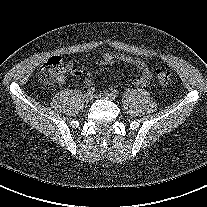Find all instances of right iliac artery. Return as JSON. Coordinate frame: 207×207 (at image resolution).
<instances>
[{"mask_svg":"<svg viewBox=\"0 0 207 207\" xmlns=\"http://www.w3.org/2000/svg\"><path fill=\"white\" fill-rule=\"evenodd\" d=\"M87 91H88V93L93 94V93L95 92V88H93V87H89V88L87 89Z\"/></svg>","mask_w":207,"mask_h":207,"instance_id":"right-iliac-artery-1","label":"right iliac artery"}]
</instances>
